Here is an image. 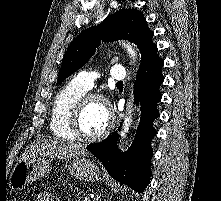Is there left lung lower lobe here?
<instances>
[{"mask_svg":"<svg viewBox=\"0 0 221 201\" xmlns=\"http://www.w3.org/2000/svg\"><path fill=\"white\" fill-rule=\"evenodd\" d=\"M163 64L164 60L157 56L137 74L134 96L137 103L138 98L140 100L141 118L128 151L121 153L118 150L117 132L100 143L87 146V150L103 163L111 177L139 193L150 182V162L153 156L150 143L156 135L153 122L159 117L156 105L162 98L159 88L164 81L161 71Z\"/></svg>","mask_w":221,"mask_h":201,"instance_id":"left-lung-lower-lobe-1","label":"left lung lower lobe"}]
</instances>
